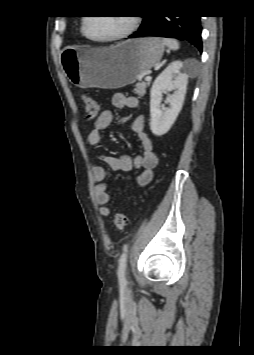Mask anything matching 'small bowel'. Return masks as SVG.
Instances as JSON below:
<instances>
[{
  "instance_id": "small-bowel-1",
  "label": "small bowel",
  "mask_w": 254,
  "mask_h": 355,
  "mask_svg": "<svg viewBox=\"0 0 254 355\" xmlns=\"http://www.w3.org/2000/svg\"><path fill=\"white\" fill-rule=\"evenodd\" d=\"M112 105L116 108L136 109L139 101L134 96H126L122 93H115L112 96ZM113 114L109 110H103L93 123L87 140L90 145L97 146L101 141V135L112 122ZM132 130L141 143L142 153L136 157L129 155L109 156L98 154V159L107 163L113 170L129 172L134 168H139L140 173L136 182L139 186L148 185L153 178V171L158 164V157L154 151L153 144L145 131V119L138 116L132 123ZM93 178L96 182L94 193L97 203L100 205L99 213L102 217L110 215L108 203L110 195L105 182L106 170L102 166H95L92 169Z\"/></svg>"
}]
</instances>
